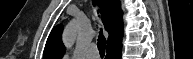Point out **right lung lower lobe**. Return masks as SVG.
<instances>
[{"instance_id": "98d812e1", "label": "right lung lower lobe", "mask_w": 193, "mask_h": 59, "mask_svg": "<svg viewBox=\"0 0 193 59\" xmlns=\"http://www.w3.org/2000/svg\"><path fill=\"white\" fill-rule=\"evenodd\" d=\"M122 39L107 46L106 59H121Z\"/></svg>"}]
</instances>
